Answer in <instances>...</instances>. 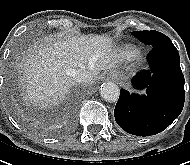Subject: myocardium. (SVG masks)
<instances>
[{
    "mask_svg": "<svg viewBox=\"0 0 190 165\" xmlns=\"http://www.w3.org/2000/svg\"><path fill=\"white\" fill-rule=\"evenodd\" d=\"M136 59H137V60H139V59H140V56H139V55H137V56H136Z\"/></svg>",
    "mask_w": 190,
    "mask_h": 165,
    "instance_id": "myocardium-1",
    "label": "myocardium"
}]
</instances>
